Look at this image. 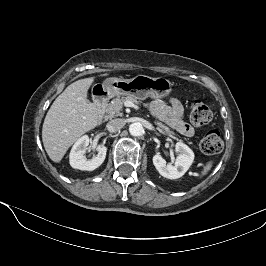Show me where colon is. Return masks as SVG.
<instances>
[{
    "label": "colon",
    "instance_id": "5ec220e1",
    "mask_svg": "<svg viewBox=\"0 0 266 266\" xmlns=\"http://www.w3.org/2000/svg\"><path fill=\"white\" fill-rule=\"evenodd\" d=\"M190 120L193 125L200 127L207 125L212 120V112L209 107L200 100L191 105ZM223 148V141L218 130L208 131L200 141V149L206 155L219 153Z\"/></svg>",
    "mask_w": 266,
    "mask_h": 266
}]
</instances>
